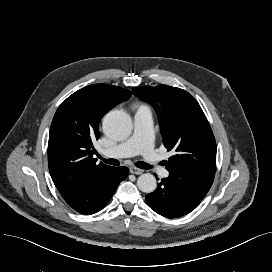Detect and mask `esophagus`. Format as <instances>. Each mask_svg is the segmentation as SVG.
I'll use <instances>...</instances> for the list:
<instances>
[{"label":"esophagus","instance_id":"obj_1","mask_svg":"<svg viewBox=\"0 0 272 272\" xmlns=\"http://www.w3.org/2000/svg\"><path fill=\"white\" fill-rule=\"evenodd\" d=\"M130 172L132 174H136V175H139V174H142L143 173V170L142 169H139L137 167H130Z\"/></svg>","mask_w":272,"mask_h":272}]
</instances>
